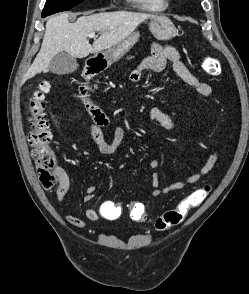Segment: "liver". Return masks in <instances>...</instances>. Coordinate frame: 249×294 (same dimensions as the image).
Masks as SVG:
<instances>
[{
    "instance_id": "liver-1",
    "label": "liver",
    "mask_w": 249,
    "mask_h": 294,
    "mask_svg": "<svg viewBox=\"0 0 249 294\" xmlns=\"http://www.w3.org/2000/svg\"><path fill=\"white\" fill-rule=\"evenodd\" d=\"M154 16L143 13L114 11L79 17L69 22V14L62 13L48 19L41 49L24 81L41 72L47 73L54 56L66 51L74 58H85L113 47L133 33L140 23ZM100 32V37L91 45L88 34Z\"/></svg>"
}]
</instances>
